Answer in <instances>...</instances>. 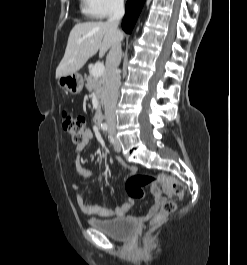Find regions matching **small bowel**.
Masks as SVG:
<instances>
[{"instance_id":"1","label":"small bowel","mask_w":247,"mask_h":265,"mask_svg":"<svg viewBox=\"0 0 247 265\" xmlns=\"http://www.w3.org/2000/svg\"><path fill=\"white\" fill-rule=\"evenodd\" d=\"M92 139H93L92 131L87 130L85 139L80 144L77 145V152L78 153L82 152ZM75 166H76V171L81 178L88 179L92 176L93 174L92 171L89 168L83 166L79 162V160L76 161ZM125 167L131 173H134L136 171V168L133 166H125ZM75 189L78 190V193L76 196L77 204L79 208L81 209V211L86 215H96L100 217H113V216L122 217V216H126L131 211L132 206H133L132 200H127L124 204L114 209L107 208L101 205H91L86 201L83 193L81 192L80 185H75ZM166 193L168 195L172 194L169 191H166ZM154 198L155 200H154L153 205L149 208L146 215L143 216L141 219H149L152 216H154L158 212L161 204L166 200V197L162 195L161 192H154Z\"/></svg>"}]
</instances>
